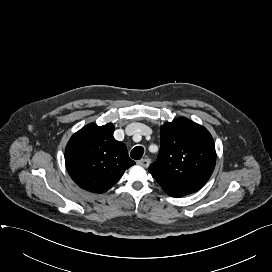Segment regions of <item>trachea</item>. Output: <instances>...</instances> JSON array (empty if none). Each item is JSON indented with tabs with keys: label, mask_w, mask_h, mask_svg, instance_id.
<instances>
[{
	"label": "trachea",
	"mask_w": 272,
	"mask_h": 272,
	"mask_svg": "<svg viewBox=\"0 0 272 272\" xmlns=\"http://www.w3.org/2000/svg\"><path fill=\"white\" fill-rule=\"evenodd\" d=\"M144 154V148L142 146H136L132 149L130 156L135 160H140Z\"/></svg>",
	"instance_id": "3493384b"
}]
</instances>
